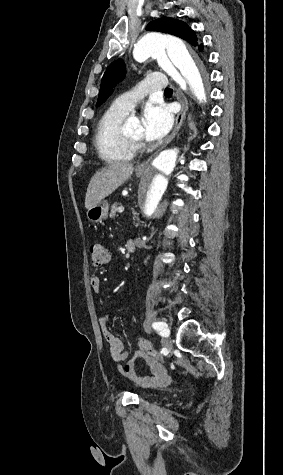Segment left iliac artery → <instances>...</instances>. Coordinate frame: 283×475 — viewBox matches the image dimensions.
Instances as JSON below:
<instances>
[{
    "mask_svg": "<svg viewBox=\"0 0 283 475\" xmlns=\"http://www.w3.org/2000/svg\"><path fill=\"white\" fill-rule=\"evenodd\" d=\"M168 325L164 322H155L152 324V327L157 330V331H160L161 330V334L162 336H165L166 333L163 331Z\"/></svg>",
    "mask_w": 283,
    "mask_h": 475,
    "instance_id": "left-iliac-artery-1",
    "label": "left iliac artery"
}]
</instances>
